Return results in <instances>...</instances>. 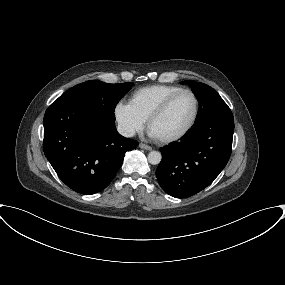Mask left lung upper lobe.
<instances>
[{"label": "left lung upper lobe", "mask_w": 285, "mask_h": 285, "mask_svg": "<svg viewBox=\"0 0 285 285\" xmlns=\"http://www.w3.org/2000/svg\"><path fill=\"white\" fill-rule=\"evenodd\" d=\"M192 87L199 102V110L194 126L214 119H233V114L220 95L210 86L195 81H184Z\"/></svg>", "instance_id": "1"}]
</instances>
